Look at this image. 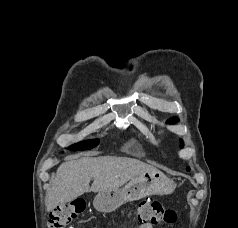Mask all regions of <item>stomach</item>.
<instances>
[{"mask_svg":"<svg viewBox=\"0 0 238 228\" xmlns=\"http://www.w3.org/2000/svg\"><path fill=\"white\" fill-rule=\"evenodd\" d=\"M176 186L172 179L155 169L136 176L121 189L98 192L93 205L98 211L109 213L129 201L150 195L170 194Z\"/></svg>","mask_w":238,"mask_h":228,"instance_id":"0dacf381","label":"stomach"}]
</instances>
